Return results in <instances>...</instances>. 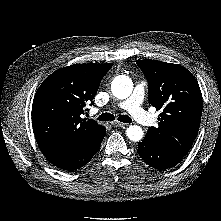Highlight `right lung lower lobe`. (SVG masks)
Segmentation results:
<instances>
[{
	"label": "right lung lower lobe",
	"mask_w": 221,
	"mask_h": 221,
	"mask_svg": "<svg viewBox=\"0 0 221 221\" xmlns=\"http://www.w3.org/2000/svg\"><path fill=\"white\" fill-rule=\"evenodd\" d=\"M106 131L93 144L77 151L60 152L40 149L46 159L55 166L68 171L83 167L99 150Z\"/></svg>",
	"instance_id": "right-lung-lower-lobe-1"
}]
</instances>
